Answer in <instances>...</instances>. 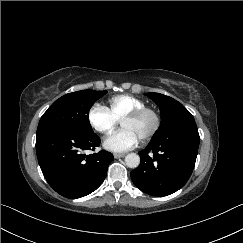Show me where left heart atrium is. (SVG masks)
I'll use <instances>...</instances> for the list:
<instances>
[{"instance_id":"1","label":"left heart atrium","mask_w":243,"mask_h":243,"mask_svg":"<svg viewBox=\"0 0 243 243\" xmlns=\"http://www.w3.org/2000/svg\"><path fill=\"white\" fill-rule=\"evenodd\" d=\"M139 139L136 134L127 128L110 133L104 140V147L112 152L120 153L133 149Z\"/></svg>"}]
</instances>
